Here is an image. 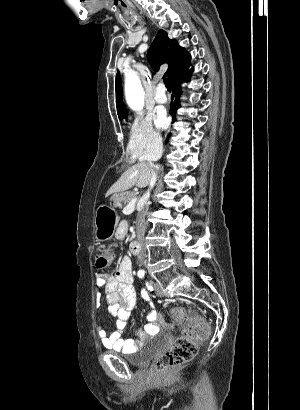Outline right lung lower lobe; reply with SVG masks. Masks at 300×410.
Returning a JSON list of instances; mask_svg holds the SVG:
<instances>
[{
	"label": "right lung lower lobe",
	"mask_w": 300,
	"mask_h": 410,
	"mask_svg": "<svg viewBox=\"0 0 300 410\" xmlns=\"http://www.w3.org/2000/svg\"><path fill=\"white\" fill-rule=\"evenodd\" d=\"M190 66V63L183 69L181 70L177 75L173 77L171 80L173 84V95L170 103V114L173 117V121L176 120V110L180 107V96H181V83L182 82H187L189 79L187 77H190L191 74H187L186 70Z\"/></svg>",
	"instance_id": "obj_1"
}]
</instances>
